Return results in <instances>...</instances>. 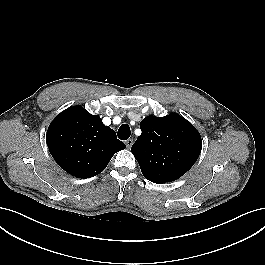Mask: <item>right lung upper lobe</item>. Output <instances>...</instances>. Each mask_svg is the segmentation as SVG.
<instances>
[{"instance_id": "right-lung-upper-lobe-1", "label": "right lung upper lobe", "mask_w": 265, "mask_h": 265, "mask_svg": "<svg viewBox=\"0 0 265 265\" xmlns=\"http://www.w3.org/2000/svg\"><path fill=\"white\" fill-rule=\"evenodd\" d=\"M46 139L58 165L78 178L99 174L116 152L126 148L114 130L82 106L61 112L49 125Z\"/></svg>"}]
</instances>
